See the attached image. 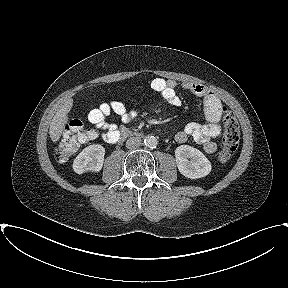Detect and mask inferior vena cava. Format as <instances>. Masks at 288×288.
<instances>
[{
	"label": "inferior vena cava",
	"mask_w": 288,
	"mask_h": 288,
	"mask_svg": "<svg viewBox=\"0 0 288 288\" xmlns=\"http://www.w3.org/2000/svg\"><path fill=\"white\" fill-rule=\"evenodd\" d=\"M141 142H142L141 138H139V137H130L126 141V147L129 149H136V148L140 147Z\"/></svg>",
	"instance_id": "obj_1"
}]
</instances>
